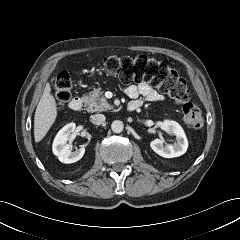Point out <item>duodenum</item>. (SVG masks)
<instances>
[{"mask_svg":"<svg viewBox=\"0 0 240 240\" xmlns=\"http://www.w3.org/2000/svg\"><path fill=\"white\" fill-rule=\"evenodd\" d=\"M81 107H82V99L79 97L73 98L69 103L70 110L74 112L79 111ZM138 108H139V105L136 102H129L126 107V109L130 112L135 111Z\"/></svg>","mask_w":240,"mask_h":240,"instance_id":"obj_1","label":"duodenum"}]
</instances>
